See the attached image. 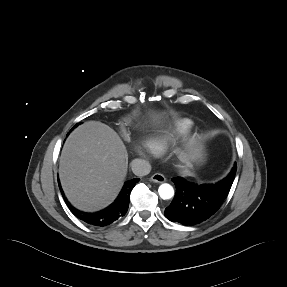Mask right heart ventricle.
<instances>
[{"label": "right heart ventricle", "instance_id": "obj_1", "mask_svg": "<svg viewBox=\"0 0 287 287\" xmlns=\"http://www.w3.org/2000/svg\"><path fill=\"white\" fill-rule=\"evenodd\" d=\"M192 130V125L188 120H172L166 122L160 129L149 136V144L153 152L164 153L169 144L185 137Z\"/></svg>", "mask_w": 287, "mask_h": 287}]
</instances>
